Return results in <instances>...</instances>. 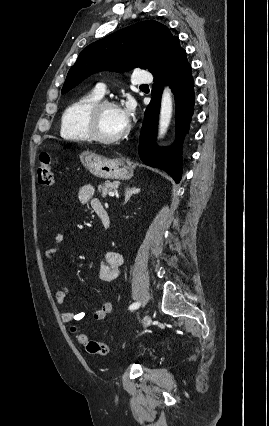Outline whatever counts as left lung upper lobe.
<instances>
[{"instance_id": "1", "label": "left lung upper lobe", "mask_w": 269, "mask_h": 426, "mask_svg": "<svg viewBox=\"0 0 269 426\" xmlns=\"http://www.w3.org/2000/svg\"><path fill=\"white\" fill-rule=\"evenodd\" d=\"M175 38L166 26L153 20L108 35L81 51L61 92H68L90 75L103 70L122 72L136 67L151 70Z\"/></svg>"}]
</instances>
